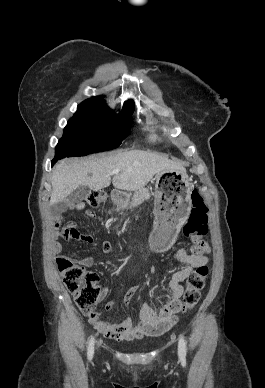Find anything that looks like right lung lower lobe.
I'll list each match as a JSON object with an SVG mask.
<instances>
[{"mask_svg": "<svg viewBox=\"0 0 265 388\" xmlns=\"http://www.w3.org/2000/svg\"><path fill=\"white\" fill-rule=\"evenodd\" d=\"M58 159H60V158H58V157L55 156V158L52 160V165H53Z\"/></svg>", "mask_w": 265, "mask_h": 388, "instance_id": "obj_1", "label": "right lung lower lobe"}]
</instances>
